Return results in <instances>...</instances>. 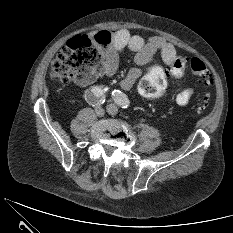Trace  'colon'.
Masks as SVG:
<instances>
[{
	"instance_id": "1",
	"label": "colon",
	"mask_w": 233,
	"mask_h": 233,
	"mask_svg": "<svg viewBox=\"0 0 233 233\" xmlns=\"http://www.w3.org/2000/svg\"><path fill=\"white\" fill-rule=\"evenodd\" d=\"M110 44L111 36L108 33H100L93 37L86 35L73 37L53 59L51 63L52 77L62 84L91 81ZM188 67L202 85L209 87L213 84V76L201 59L194 57L189 60L177 56L168 70L159 65H152L148 68L139 85L140 94L150 99L161 97L166 88L167 76L180 78ZM208 103L209 98L206 97L200 111H203Z\"/></svg>"
}]
</instances>
